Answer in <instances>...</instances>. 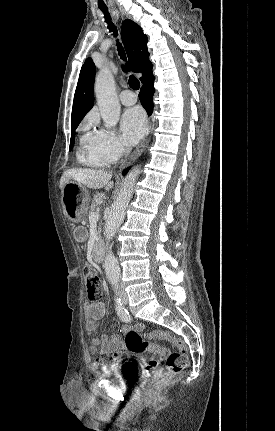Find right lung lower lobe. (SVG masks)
Returning <instances> with one entry per match:
<instances>
[{
	"label": "right lung lower lobe",
	"instance_id": "right-lung-lower-lobe-1",
	"mask_svg": "<svg viewBox=\"0 0 275 431\" xmlns=\"http://www.w3.org/2000/svg\"><path fill=\"white\" fill-rule=\"evenodd\" d=\"M154 76H151L146 82L143 83L140 93H139V99L141 101L142 106L146 109L148 115L152 114L153 112V94H154ZM126 169L123 173V175H126L127 171Z\"/></svg>",
	"mask_w": 275,
	"mask_h": 431
}]
</instances>
